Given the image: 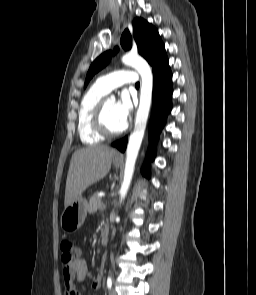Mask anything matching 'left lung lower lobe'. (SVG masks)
Here are the masks:
<instances>
[{
  "instance_id": "1",
  "label": "left lung lower lobe",
  "mask_w": 256,
  "mask_h": 295,
  "mask_svg": "<svg viewBox=\"0 0 256 295\" xmlns=\"http://www.w3.org/2000/svg\"><path fill=\"white\" fill-rule=\"evenodd\" d=\"M172 98V73L168 64L153 70V109L150 122V140L151 146L147 155V162L142 169V174L150 177L148 161L155 155V145L158 140L161 129L163 128L167 114L171 111ZM127 145V137L114 142L112 146L117 147L124 152Z\"/></svg>"
}]
</instances>
